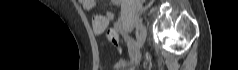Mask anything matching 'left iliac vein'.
<instances>
[{"mask_svg": "<svg viewBox=\"0 0 238 70\" xmlns=\"http://www.w3.org/2000/svg\"><path fill=\"white\" fill-rule=\"evenodd\" d=\"M146 36H147L146 28L142 27L141 31L139 32V34L137 36L136 44L133 47L132 51L130 52V56H133L140 50V48L143 46V44L146 40Z\"/></svg>", "mask_w": 238, "mask_h": 70, "instance_id": "left-iliac-vein-1", "label": "left iliac vein"}]
</instances>
